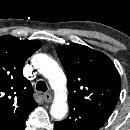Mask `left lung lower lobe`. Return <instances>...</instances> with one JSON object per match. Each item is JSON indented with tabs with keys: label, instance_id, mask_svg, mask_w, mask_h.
<instances>
[{
	"label": "left lung lower lobe",
	"instance_id": "obj_1",
	"mask_svg": "<svg viewBox=\"0 0 130 130\" xmlns=\"http://www.w3.org/2000/svg\"><path fill=\"white\" fill-rule=\"evenodd\" d=\"M69 116L54 124L55 130H98L109 117L85 106H69Z\"/></svg>",
	"mask_w": 130,
	"mask_h": 130
}]
</instances>
